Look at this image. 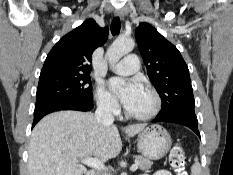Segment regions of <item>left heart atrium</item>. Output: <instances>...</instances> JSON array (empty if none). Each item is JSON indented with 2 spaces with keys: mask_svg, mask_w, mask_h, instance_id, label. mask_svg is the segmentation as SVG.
Returning a JSON list of instances; mask_svg holds the SVG:
<instances>
[{
  "mask_svg": "<svg viewBox=\"0 0 233 175\" xmlns=\"http://www.w3.org/2000/svg\"><path fill=\"white\" fill-rule=\"evenodd\" d=\"M109 85L126 108L132 105L143 92L142 84L137 79L115 77L109 81Z\"/></svg>",
  "mask_w": 233,
  "mask_h": 175,
  "instance_id": "obj_1",
  "label": "left heart atrium"
}]
</instances>
